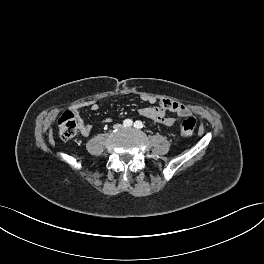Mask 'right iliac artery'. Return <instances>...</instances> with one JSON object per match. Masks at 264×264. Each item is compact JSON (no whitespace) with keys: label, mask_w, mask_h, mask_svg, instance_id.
<instances>
[{"label":"right iliac artery","mask_w":264,"mask_h":264,"mask_svg":"<svg viewBox=\"0 0 264 264\" xmlns=\"http://www.w3.org/2000/svg\"><path fill=\"white\" fill-rule=\"evenodd\" d=\"M123 125H124L125 127H130V126L133 125V121H132L131 119H125V120L123 121Z\"/></svg>","instance_id":"1"}]
</instances>
